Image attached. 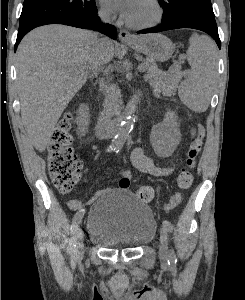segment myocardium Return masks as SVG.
Returning a JSON list of instances; mask_svg holds the SVG:
<instances>
[{"label":"myocardium","instance_id":"obj_1","mask_svg":"<svg viewBox=\"0 0 245 300\" xmlns=\"http://www.w3.org/2000/svg\"><path fill=\"white\" fill-rule=\"evenodd\" d=\"M149 2L153 5V7L156 11L155 18L148 23H133V22H130V21L124 19L125 24L128 27H130L132 29H137V30H144V29L153 28L162 21L164 11H163V8H162L159 0H149Z\"/></svg>","mask_w":245,"mask_h":300}]
</instances>
